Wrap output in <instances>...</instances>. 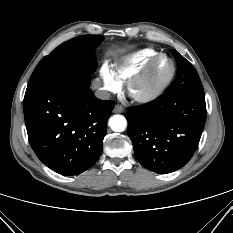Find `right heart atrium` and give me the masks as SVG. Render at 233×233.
<instances>
[{"label": "right heart atrium", "mask_w": 233, "mask_h": 233, "mask_svg": "<svg viewBox=\"0 0 233 233\" xmlns=\"http://www.w3.org/2000/svg\"><path fill=\"white\" fill-rule=\"evenodd\" d=\"M100 77L103 87L108 93H116L121 89V83L107 66L101 68Z\"/></svg>", "instance_id": "d8ad5b80"}]
</instances>
